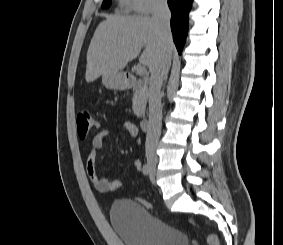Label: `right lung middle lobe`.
I'll return each instance as SVG.
<instances>
[{
  "label": "right lung middle lobe",
  "mask_w": 283,
  "mask_h": 245,
  "mask_svg": "<svg viewBox=\"0 0 283 245\" xmlns=\"http://www.w3.org/2000/svg\"><path fill=\"white\" fill-rule=\"evenodd\" d=\"M111 0H104L102 3V8H108L110 6Z\"/></svg>",
  "instance_id": "dd1d6c3e"
}]
</instances>
